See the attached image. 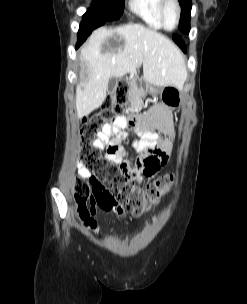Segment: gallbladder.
<instances>
[{
	"mask_svg": "<svg viewBox=\"0 0 247 304\" xmlns=\"http://www.w3.org/2000/svg\"><path fill=\"white\" fill-rule=\"evenodd\" d=\"M118 79L116 77H111L108 82L107 92L109 94L113 93L117 87Z\"/></svg>",
	"mask_w": 247,
	"mask_h": 304,
	"instance_id": "1",
	"label": "gallbladder"
}]
</instances>
